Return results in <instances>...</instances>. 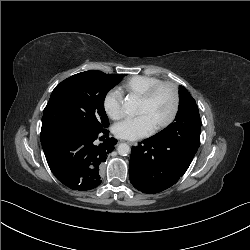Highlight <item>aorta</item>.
Listing matches in <instances>:
<instances>
[{
  "instance_id": "obj_1",
  "label": "aorta",
  "mask_w": 250,
  "mask_h": 250,
  "mask_svg": "<svg viewBox=\"0 0 250 250\" xmlns=\"http://www.w3.org/2000/svg\"><path fill=\"white\" fill-rule=\"evenodd\" d=\"M123 109L128 115H134L137 111V103L133 99H127L123 104ZM117 152L121 156H127L130 153V146L126 143H120Z\"/></svg>"
}]
</instances>
